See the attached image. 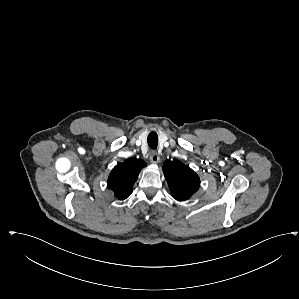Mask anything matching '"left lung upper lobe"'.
I'll list each match as a JSON object with an SVG mask.
<instances>
[{
    "label": "left lung upper lobe",
    "mask_w": 299,
    "mask_h": 299,
    "mask_svg": "<svg viewBox=\"0 0 299 299\" xmlns=\"http://www.w3.org/2000/svg\"><path fill=\"white\" fill-rule=\"evenodd\" d=\"M163 172L171 194L176 200L185 201L198 190L200 184L198 175L180 161H165Z\"/></svg>",
    "instance_id": "obj_1"
}]
</instances>
